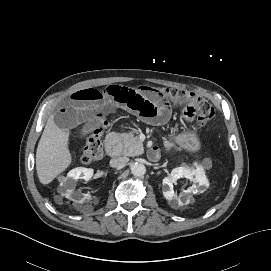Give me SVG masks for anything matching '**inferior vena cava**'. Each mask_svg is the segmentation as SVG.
Returning a JSON list of instances; mask_svg holds the SVG:
<instances>
[{"label":"inferior vena cava","mask_w":271,"mask_h":271,"mask_svg":"<svg viewBox=\"0 0 271 271\" xmlns=\"http://www.w3.org/2000/svg\"><path fill=\"white\" fill-rule=\"evenodd\" d=\"M129 161L127 157H118L110 160V165L112 167H119L125 165Z\"/></svg>","instance_id":"obj_1"}]
</instances>
